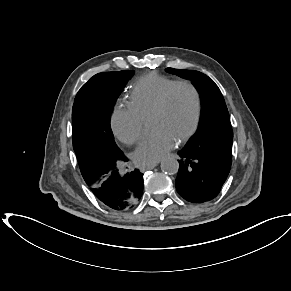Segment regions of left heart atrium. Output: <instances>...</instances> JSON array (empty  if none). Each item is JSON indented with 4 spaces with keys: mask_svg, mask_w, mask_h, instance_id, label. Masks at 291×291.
Listing matches in <instances>:
<instances>
[{
    "mask_svg": "<svg viewBox=\"0 0 291 291\" xmlns=\"http://www.w3.org/2000/svg\"><path fill=\"white\" fill-rule=\"evenodd\" d=\"M176 145V139L168 132H158L145 138L134 152V160L139 164L159 162Z\"/></svg>",
    "mask_w": 291,
    "mask_h": 291,
    "instance_id": "1",
    "label": "left heart atrium"
}]
</instances>
